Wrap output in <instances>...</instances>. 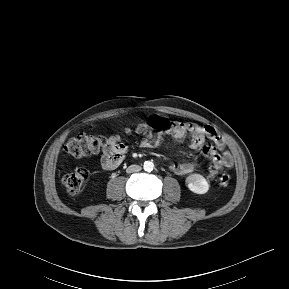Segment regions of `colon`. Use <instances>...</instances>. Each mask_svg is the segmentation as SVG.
<instances>
[{"label": "colon", "mask_w": 289, "mask_h": 289, "mask_svg": "<svg viewBox=\"0 0 289 289\" xmlns=\"http://www.w3.org/2000/svg\"><path fill=\"white\" fill-rule=\"evenodd\" d=\"M143 127L149 133H154L159 129L162 133L169 134L174 130L175 123L169 117L163 118L160 114L153 113L144 120ZM107 140L104 135L81 133L67 141L64 146V151L74 157L96 154L103 149ZM87 177V170L83 167H78L64 174L61 181L67 193L76 194L82 189ZM230 178L229 173H224L219 178L218 184L220 186H226Z\"/></svg>", "instance_id": "colon-1"}]
</instances>
